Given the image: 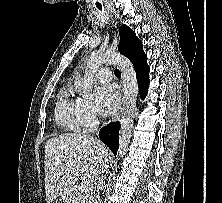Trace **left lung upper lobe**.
<instances>
[{"mask_svg":"<svg viewBox=\"0 0 222 203\" xmlns=\"http://www.w3.org/2000/svg\"><path fill=\"white\" fill-rule=\"evenodd\" d=\"M119 32L120 43L118 50L129 59L142 46V43L139 41L138 37H136L134 31L126 25L120 26Z\"/></svg>","mask_w":222,"mask_h":203,"instance_id":"1","label":"left lung upper lobe"}]
</instances>
